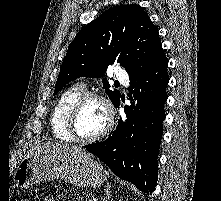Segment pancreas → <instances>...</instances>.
Masks as SVG:
<instances>
[{"label": "pancreas", "instance_id": "obj_1", "mask_svg": "<svg viewBox=\"0 0 221 201\" xmlns=\"http://www.w3.org/2000/svg\"><path fill=\"white\" fill-rule=\"evenodd\" d=\"M76 196H77V197H76V200H77V201H82V197L80 196L79 193H77Z\"/></svg>", "mask_w": 221, "mask_h": 201}]
</instances>
